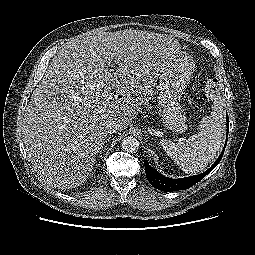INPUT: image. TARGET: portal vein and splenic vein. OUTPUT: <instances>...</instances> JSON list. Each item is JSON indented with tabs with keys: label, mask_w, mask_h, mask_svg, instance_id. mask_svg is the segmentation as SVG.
<instances>
[{
	"label": "portal vein and splenic vein",
	"mask_w": 255,
	"mask_h": 255,
	"mask_svg": "<svg viewBox=\"0 0 255 255\" xmlns=\"http://www.w3.org/2000/svg\"><path fill=\"white\" fill-rule=\"evenodd\" d=\"M113 96H114V94L113 93H109V94H107V96H106V101H110V100H112V98H113Z\"/></svg>",
	"instance_id": "obj_1"
}]
</instances>
